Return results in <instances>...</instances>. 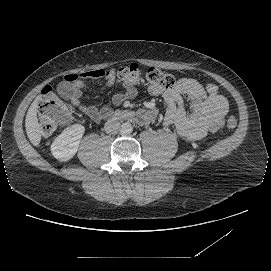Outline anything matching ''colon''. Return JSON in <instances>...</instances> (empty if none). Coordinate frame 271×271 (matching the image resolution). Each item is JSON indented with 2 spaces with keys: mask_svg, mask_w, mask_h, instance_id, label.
Returning <instances> with one entry per match:
<instances>
[{
  "mask_svg": "<svg viewBox=\"0 0 271 271\" xmlns=\"http://www.w3.org/2000/svg\"><path fill=\"white\" fill-rule=\"evenodd\" d=\"M119 79L135 86L140 81V71L136 64L124 66L118 71ZM174 78L157 68H151L146 74V86L150 94L158 95L174 85ZM72 118V109L61 101L51 86H46L38 100V123L43 135H51L57 128L67 125ZM226 125L229 129L236 128V119L230 116Z\"/></svg>",
  "mask_w": 271,
  "mask_h": 271,
  "instance_id": "obj_1",
  "label": "colon"
}]
</instances>
